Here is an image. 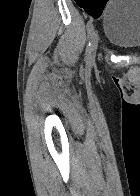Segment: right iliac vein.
Instances as JSON below:
<instances>
[{
    "instance_id": "obj_1",
    "label": "right iliac vein",
    "mask_w": 140,
    "mask_h": 196,
    "mask_svg": "<svg viewBox=\"0 0 140 196\" xmlns=\"http://www.w3.org/2000/svg\"><path fill=\"white\" fill-rule=\"evenodd\" d=\"M98 41H99V37L96 31H93L91 34V46H90V50L87 54L86 57V62L88 64H92L94 61V54L96 53V50L98 48Z\"/></svg>"
}]
</instances>
